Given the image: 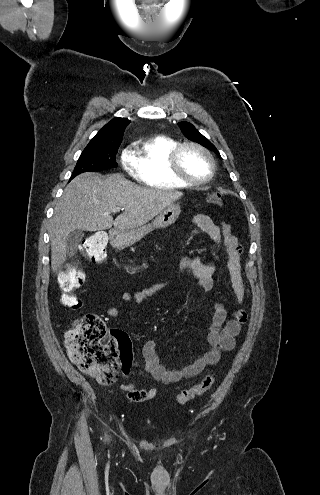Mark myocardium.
<instances>
[{
  "label": "myocardium",
  "mask_w": 320,
  "mask_h": 495,
  "mask_svg": "<svg viewBox=\"0 0 320 495\" xmlns=\"http://www.w3.org/2000/svg\"><path fill=\"white\" fill-rule=\"evenodd\" d=\"M187 148H194V149L200 151L201 153H203L204 156L207 158L209 165H210V171H209V174L207 175V177H205L203 179H194V178H191L184 173V171L182 170V167H181V155H182V152ZM169 166H170V170H171L172 174L176 178H178L179 180L185 182L186 184H188L190 186H197V185H203V184L208 183L213 178V176L215 175V172H216V163H215V160H214L211 152L207 148L202 146L201 144L196 143V142H191V141L179 143L171 151V153L169 155Z\"/></svg>",
  "instance_id": "obj_1"
}]
</instances>
